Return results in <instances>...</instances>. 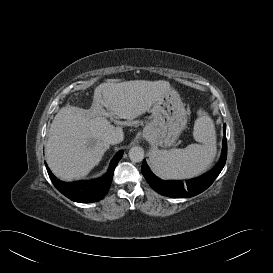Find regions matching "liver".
<instances>
[{
    "label": "liver",
    "mask_w": 273,
    "mask_h": 273,
    "mask_svg": "<svg viewBox=\"0 0 273 273\" xmlns=\"http://www.w3.org/2000/svg\"><path fill=\"white\" fill-rule=\"evenodd\" d=\"M169 89V82L163 80L108 82L95 89L90 109L62 107L52 121L46 143V160L52 172L63 180L86 176L109 149L108 136L123 125L116 121L115 127L107 117L133 120Z\"/></svg>",
    "instance_id": "obj_1"
}]
</instances>
